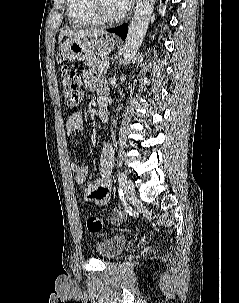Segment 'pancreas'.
I'll use <instances>...</instances> for the list:
<instances>
[{
	"mask_svg": "<svg viewBox=\"0 0 239 303\" xmlns=\"http://www.w3.org/2000/svg\"><path fill=\"white\" fill-rule=\"evenodd\" d=\"M108 61V58L105 54H98L97 57L89 59L85 62V65L98 73H106L107 68L104 67L103 63Z\"/></svg>",
	"mask_w": 239,
	"mask_h": 303,
	"instance_id": "obj_1",
	"label": "pancreas"
}]
</instances>
